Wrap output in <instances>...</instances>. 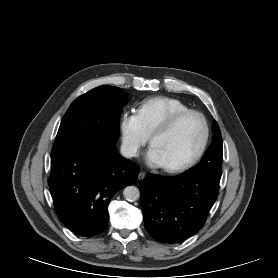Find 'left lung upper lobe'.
Listing matches in <instances>:
<instances>
[{
  "mask_svg": "<svg viewBox=\"0 0 278 278\" xmlns=\"http://www.w3.org/2000/svg\"><path fill=\"white\" fill-rule=\"evenodd\" d=\"M213 131V141L203 159L197 166L186 172L185 175L204 176L220 180L222 170L223 146L221 131L216 121L213 122Z\"/></svg>",
  "mask_w": 278,
  "mask_h": 278,
  "instance_id": "obj_1",
  "label": "left lung upper lobe"
}]
</instances>
